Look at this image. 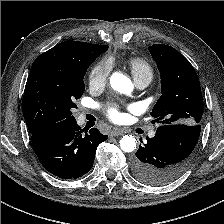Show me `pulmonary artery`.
I'll list each match as a JSON object with an SVG mask.
<instances>
[{
    "label": "pulmonary artery",
    "instance_id": "e3ab8cb5",
    "mask_svg": "<svg viewBox=\"0 0 224 224\" xmlns=\"http://www.w3.org/2000/svg\"><path fill=\"white\" fill-rule=\"evenodd\" d=\"M150 79H139V80H135V84H136V87L138 89H144L145 87H147L150 83ZM79 121H83L84 120V114L81 113L78 117ZM155 136V133L154 132H150L149 133V137H154Z\"/></svg>",
    "mask_w": 224,
    "mask_h": 224
}]
</instances>
